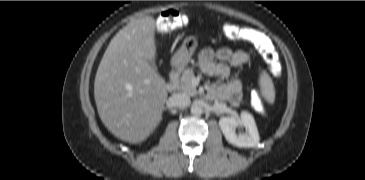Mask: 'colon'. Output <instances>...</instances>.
I'll list each match as a JSON object with an SVG mask.
<instances>
[{"label":"colon","instance_id":"1","mask_svg":"<svg viewBox=\"0 0 365 180\" xmlns=\"http://www.w3.org/2000/svg\"><path fill=\"white\" fill-rule=\"evenodd\" d=\"M188 18L185 13L169 9L161 13V18L156 24L157 31L162 34L175 32L186 26ZM253 36V32L249 28H231L229 32V38L236 41H250ZM266 58L270 61L271 66L274 69L275 75L280 74V68L273 60L271 53H265Z\"/></svg>","mask_w":365,"mask_h":180}]
</instances>
